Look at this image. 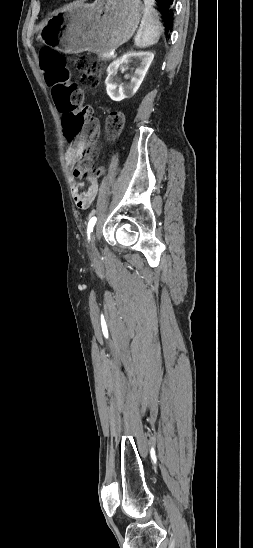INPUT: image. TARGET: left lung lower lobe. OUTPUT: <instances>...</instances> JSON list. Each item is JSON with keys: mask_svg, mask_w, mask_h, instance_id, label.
Wrapping results in <instances>:
<instances>
[{"mask_svg": "<svg viewBox=\"0 0 253 548\" xmlns=\"http://www.w3.org/2000/svg\"><path fill=\"white\" fill-rule=\"evenodd\" d=\"M159 5L161 12L164 16V24L167 31L171 30L173 22V4L174 0H156Z\"/></svg>", "mask_w": 253, "mask_h": 548, "instance_id": "1", "label": "left lung lower lobe"}]
</instances>
